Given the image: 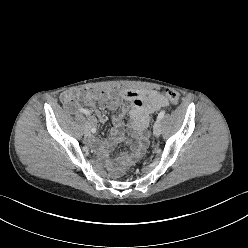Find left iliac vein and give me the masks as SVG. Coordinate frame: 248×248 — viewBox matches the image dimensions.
<instances>
[{
    "label": "left iliac vein",
    "mask_w": 248,
    "mask_h": 248,
    "mask_svg": "<svg viewBox=\"0 0 248 248\" xmlns=\"http://www.w3.org/2000/svg\"><path fill=\"white\" fill-rule=\"evenodd\" d=\"M153 132L155 136H160L161 134V125H160V120H156L154 127H153Z\"/></svg>",
    "instance_id": "4c4485c4"
}]
</instances>
